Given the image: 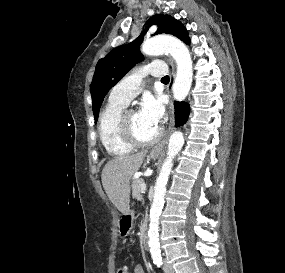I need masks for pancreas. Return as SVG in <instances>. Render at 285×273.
<instances>
[{"label":"pancreas","mask_w":285,"mask_h":273,"mask_svg":"<svg viewBox=\"0 0 285 273\" xmlns=\"http://www.w3.org/2000/svg\"><path fill=\"white\" fill-rule=\"evenodd\" d=\"M144 181L142 179H136L132 181V197L136 200L141 201L142 200V191L140 189L141 184Z\"/></svg>","instance_id":"1"}]
</instances>
